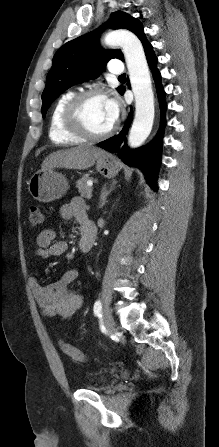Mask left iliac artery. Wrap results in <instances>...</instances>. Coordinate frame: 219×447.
Segmentation results:
<instances>
[{"instance_id":"1","label":"left iliac artery","mask_w":219,"mask_h":447,"mask_svg":"<svg viewBox=\"0 0 219 447\" xmlns=\"http://www.w3.org/2000/svg\"><path fill=\"white\" fill-rule=\"evenodd\" d=\"M94 314L96 316H101V311H102V304L100 300H97L94 304Z\"/></svg>"}]
</instances>
